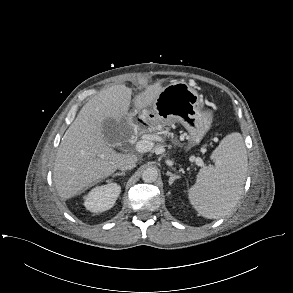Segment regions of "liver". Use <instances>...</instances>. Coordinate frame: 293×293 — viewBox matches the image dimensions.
Listing matches in <instances>:
<instances>
[{
  "label": "liver",
  "mask_w": 293,
  "mask_h": 293,
  "mask_svg": "<svg viewBox=\"0 0 293 293\" xmlns=\"http://www.w3.org/2000/svg\"><path fill=\"white\" fill-rule=\"evenodd\" d=\"M160 83L148 86L133 99L135 113L151 105ZM132 89L114 85L92 97L65 132L58 147L53 180L58 195L67 200L114 173L127 155L117 153L103 133V123L112 118L120 124L128 114ZM133 156L135 160L137 157Z\"/></svg>",
  "instance_id": "obj_1"
}]
</instances>
